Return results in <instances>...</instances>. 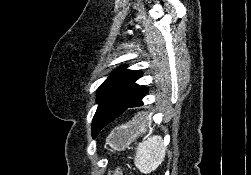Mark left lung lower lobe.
<instances>
[{"mask_svg":"<svg viewBox=\"0 0 251 175\" xmlns=\"http://www.w3.org/2000/svg\"><path fill=\"white\" fill-rule=\"evenodd\" d=\"M147 92L148 88L144 86H139L126 104L120 105L112 103L103 107L100 111H98L99 114L98 119H101V121L107 125L119 117L127 115L129 116L145 115L146 114L145 109L143 108L134 109V108L144 105L142 99Z\"/></svg>","mask_w":251,"mask_h":175,"instance_id":"obj_1","label":"left lung lower lobe"}]
</instances>
